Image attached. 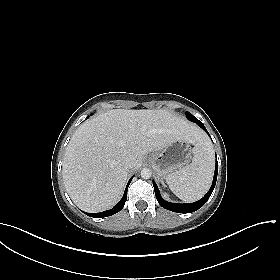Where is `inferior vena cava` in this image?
<instances>
[{"mask_svg":"<svg viewBox=\"0 0 280 280\" xmlns=\"http://www.w3.org/2000/svg\"><path fill=\"white\" fill-rule=\"evenodd\" d=\"M134 161H135V157L132 156V155H128V156H126V157L124 158L123 163H124V166H125L127 169H129V168H131V167L133 166Z\"/></svg>","mask_w":280,"mask_h":280,"instance_id":"1","label":"inferior vena cava"}]
</instances>
